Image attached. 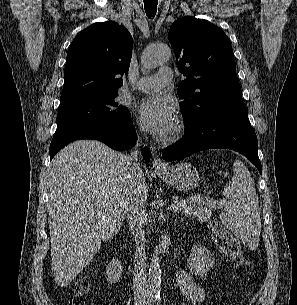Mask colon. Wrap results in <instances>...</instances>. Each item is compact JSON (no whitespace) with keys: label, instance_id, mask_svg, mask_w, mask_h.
<instances>
[{"label":"colon","instance_id":"colon-1","mask_svg":"<svg viewBox=\"0 0 297 305\" xmlns=\"http://www.w3.org/2000/svg\"><path fill=\"white\" fill-rule=\"evenodd\" d=\"M212 238L219 250L237 265H245L247 256L240 242L227 231L219 222L211 224ZM91 292V285L87 280H79L70 298L69 305H85V298Z\"/></svg>","mask_w":297,"mask_h":305}]
</instances>
